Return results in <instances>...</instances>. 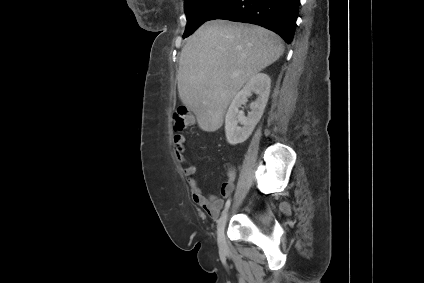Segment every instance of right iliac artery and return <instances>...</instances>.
Instances as JSON below:
<instances>
[{"instance_id": "obj_1", "label": "right iliac artery", "mask_w": 424, "mask_h": 283, "mask_svg": "<svg viewBox=\"0 0 424 283\" xmlns=\"http://www.w3.org/2000/svg\"><path fill=\"white\" fill-rule=\"evenodd\" d=\"M230 203H231V199H228V200L226 201V204H225L224 212H225V211L229 208Z\"/></svg>"}]
</instances>
